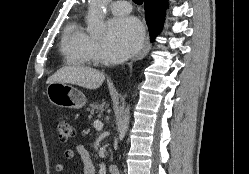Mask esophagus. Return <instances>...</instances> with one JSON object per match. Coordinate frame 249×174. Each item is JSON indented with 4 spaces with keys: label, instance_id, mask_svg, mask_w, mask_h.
Here are the masks:
<instances>
[{
    "label": "esophagus",
    "instance_id": "1",
    "mask_svg": "<svg viewBox=\"0 0 249 174\" xmlns=\"http://www.w3.org/2000/svg\"><path fill=\"white\" fill-rule=\"evenodd\" d=\"M149 48H150V38H149V34H147L142 50L132 59V61L130 62V66L132 65L134 61H137L143 58L148 52Z\"/></svg>",
    "mask_w": 249,
    "mask_h": 174
}]
</instances>
